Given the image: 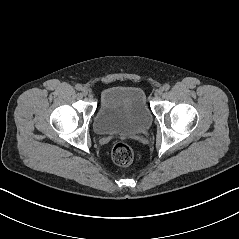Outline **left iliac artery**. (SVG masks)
Returning <instances> with one entry per match:
<instances>
[{
    "instance_id": "obj_1",
    "label": "left iliac artery",
    "mask_w": 239,
    "mask_h": 239,
    "mask_svg": "<svg viewBox=\"0 0 239 239\" xmlns=\"http://www.w3.org/2000/svg\"><path fill=\"white\" fill-rule=\"evenodd\" d=\"M163 88H164V90H169L170 89V85L169 84H165L164 86H163Z\"/></svg>"
}]
</instances>
